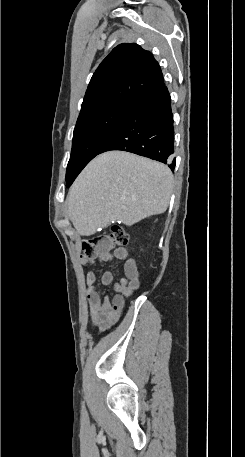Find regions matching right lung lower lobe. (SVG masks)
Returning <instances> with one entry per match:
<instances>
[{"label":"right lung lower lobe","instance_id":"98d812e1","mask_svg":"<svg viewBox=\"0 0 245 457\" xmlns=\"http://www.w3.org/2000/svg\"><path fill=\"white\" fill-rule=\"evenodd\" d=\"M123 150L145 156L174 170V126L171 98L163 84L139 98L100 153Z\"/></svg>","mask_w":245,"mask_h":457}]
</instances>
